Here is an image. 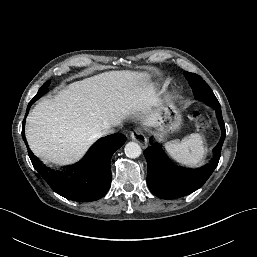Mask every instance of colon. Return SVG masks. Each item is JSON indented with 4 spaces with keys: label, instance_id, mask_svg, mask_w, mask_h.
Instances as JSON below:
<instances>
[{
    "label": "colon",
    "instance_id": "5ec220e1",
    "mask_svg": "<svg viewBox=\"0 0 257 257\" xmlns=\"http://www.w3.org/2000/svg\"><path fill=\"white\" fill-rule=\"evenodd\" d=\"M193 118L196 120V122H197L198 125H200V126H203V125H205V124L207 123V122H206V119L203 118L199 112H195V113L193 114Z\"/></svg>",
    "mask_w": 257,
    "mask_h": 257
}]
</instances>
